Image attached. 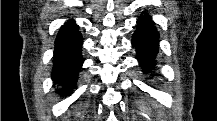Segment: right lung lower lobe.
Listing matches in <instances>:
<instances>
[{"label": "right lung lower lobe", "instance_id": "1", "mask_svg": "<svg viewBox=\"0 0 217 121\" xmlns=\"http://www.w3.org/2000/svg\"><path fill=\"white\" fill-rule=\"evenodd\" d=\"M83 38L73 20L61 26L55 40L52 79L62 86L59 93L70 95L75 87L83 59Z\"/></svg>", "mask_w": 217, "mask_h": 121}]
</instances>
